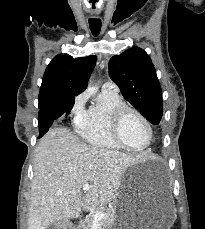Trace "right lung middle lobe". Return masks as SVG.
I'll return each mask as SVG.
<instances>
[{
    "instance_id": "dd1d6c3e",
    "label": "right lung middle lobe",
    "mask_w": 205,
    "mask_h": 229,
    "mask_svg": "<svg viewBox=\"0 0 205 229\" xmlns=\"http://www.w3.org/2000/svg\"><path fill=\"white\" fill-rule=\"evenodd\" d=\"M72 98V100L74 101V97H71ZM52 104V103H51ZM50 104V105H51ZM49 105H46V103L45 102H43V103H40L39 102V109L41 110V109H44V108H46V107H48Z\"/></svg>"
}]
</instances>
